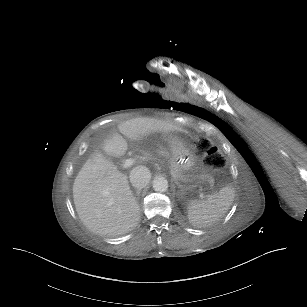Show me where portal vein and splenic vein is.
I'll list each match as a JSON object with an SVG mask.
<instances>
[{
    "label": "portal vein and splenic vein",
    "mask_w": 307,
    "mask_h": 307,
    "mask_svg": "<svg viewBox=\"0 0 307 307\" xmlns=\"http://www.w3.org/2000/svg\"><path fill=\"white\" fill-rule=\"evenodd\" d=\"M125 165L127 167H132L134 165V160L132 158H127L125 160ZM196 190L198 191V193L200 194V198L201 199H205L206 198V195H205V192L202 190V187L200 185H197L196 186Z\"/></svg>",
    "instance_id": "18ae733b"
}]
</instances>
